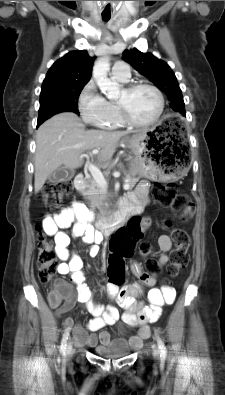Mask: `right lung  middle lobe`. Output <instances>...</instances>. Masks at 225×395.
I'll return each instance as SVG.
<instances>
[{
    "label": "right lung middle lobe",
    "mask_w": 225,
    "mask_h": 395,
    "mask_svg": "<svg viewBox=\"0 0 225 395\" xmlns=\"http://www.w3.org/2000/svg\"><path fill=\"white\" fill-rule=\"evenodd\" d=\"M86 84H53L42 86L38 123H42L53 115L70 111L79 115L78 98Z\"/></svg>",
    "instance_id": "dd1d6c3e"
}]
</instances>
